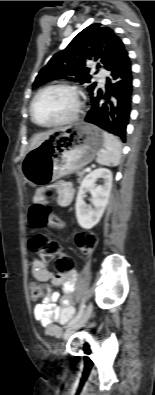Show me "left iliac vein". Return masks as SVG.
I'll return each instance as SVG.
<instances>
[{"label": "left iliac vein", "mask_w": 155, "mask_h": 395, "mask_svg": "<svg viewBox=\"0 0 155 395\" xmlns=\"http://www.w3.org/2000/svg\"><path fill=\"white\" fill-rule=\"evenodd\" d=\"M92 303H89L87 306L84 314L81 316V318L75 322L74 324L70 325L64 332L63 334V339L67 340L76 330H78L80 327H82L90 318L91 313H92Z\"/></svg>", "instance_id": "1"}]
</instances>
